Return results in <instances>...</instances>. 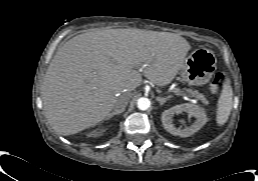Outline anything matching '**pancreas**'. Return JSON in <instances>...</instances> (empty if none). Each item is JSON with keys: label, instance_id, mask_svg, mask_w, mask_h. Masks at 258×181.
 Instances as JSON below:
<instances>
[{"label": "pancreas", "instance_id": "1", "mask_svg": "<svg viewBox=\"0 0 258 181\" xmlns=\"http://www.w3.org/2000/svg\"><path fill=\"white\" fill-rule=\"evenodd\" d=\"M181 94L189 95V96L194 97L198 100H201L202 102H206V99H205L204 95L199 93L196 90H193V89H185L181 92Z\"/></svg>", "mask_w": 258, "mask_h": 181}]
</instances>
